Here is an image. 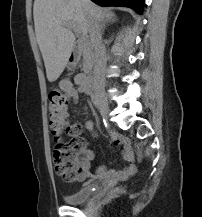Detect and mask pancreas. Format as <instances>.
Here are the masks:
<instances>
[{
    "label": "pancreas",
    "mask_w": 202,
    "mask_h": 217,
    "mask_svg": "<svg viewBox=\"0 0 202 217\" xmlns=\"http://www.w3.org/2000/svg\"><path fill=\"white\" fill-rule=\"evenodd\" d=\"M80 47L83 51V66L85 69H90L91 67V50H90V44L86 39L80 40Z\"/></svg>",
    "instance_id": "pancreas-1"
}]
</instances>
